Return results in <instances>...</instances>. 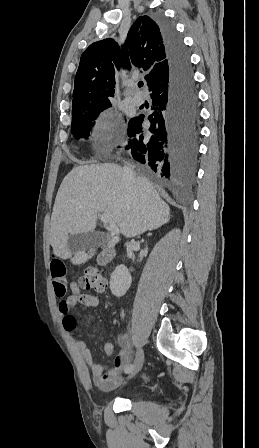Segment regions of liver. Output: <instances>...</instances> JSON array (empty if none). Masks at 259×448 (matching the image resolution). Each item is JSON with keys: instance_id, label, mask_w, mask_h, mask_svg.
Returning <instances> with one entry per match:
<instances>
[{"instance_id": "1", "label": "liver", "mask_w": 259, "mask_h": 448, "mask_svg": "<svg viewBox=\"0 0 259 448\" xmlns=\"http://www.w3.org/2000/svg\"><path fill=\"white\" fill-rule=\"evenodd\" d=\"M118 164H90L73 168L65 176L55 198L49 230V242L57 258L72 264H85L95 254L77 252L72 258L67 246L69 234H89L97 226L98 212L110 214L125 238L157 230L170 220V208L151 182L136 176L132 188L123 182ZM120 238L108 242L114 248Z\"/></svg>"}]
</instances>
